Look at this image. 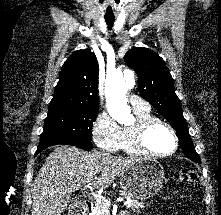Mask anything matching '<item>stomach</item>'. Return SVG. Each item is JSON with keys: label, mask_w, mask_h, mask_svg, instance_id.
Instances as JSON below:
<instances>
[{"label": "stomach", "mask_w": 221, "mask_h": 215, "mask_svg": "<svg viewBox=\"0 0 221 215\" xmlns=\"http://www.w3.org/2000/svg\"><path fill=\"white\" fill-rule=\"evenodd\" d=\"M165 172L157 161L140 160L120 174L121 189L131 198L146 200L163 187Z\"/></svg>", "instance_id": "1"}]
</instances>
